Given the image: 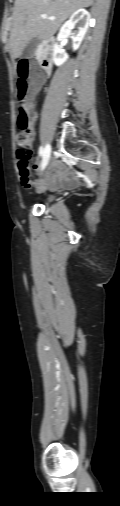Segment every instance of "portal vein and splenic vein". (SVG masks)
Masks as SVG:
<instances>
[{"label":"portal vein and splenic vein","instance_id":"1","mask_svg":"<svg viewBox=\"0 0 120 506\" xmlns=\"http://www.w3.org/2000/svg\"><path fill=\"white\" fill-rule=\"evenodd\" d=\"M41 17H42V19H49V20H54V19H55L54 17H48V16H47V15H45V14H44V15H42Z\"/></svg>","mask_w":120,"mask_h":506}]
</instances>
